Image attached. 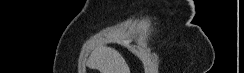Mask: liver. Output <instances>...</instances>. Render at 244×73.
I'll use <instances>...</instances> for the list:
<instances>
[{
	"label": "liver",
	"mask_w": 244,
	"mask_h": 73,
	"mask_svg": "<svg viewBox=\"0 0 244 73\" xmlns=\"http://www.w3.org/2000/svg\"><path fill=\"white\" fill-rule=\"evenodd\" d=\"M90 65L100 73H130L125 59L111 47L97 49L90 58Z\"/></svg>",
	"instance_id": "6515ba94"
}]
</instances>
